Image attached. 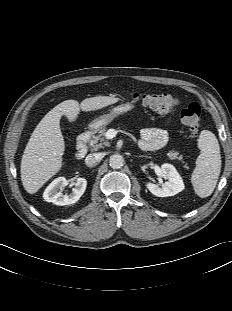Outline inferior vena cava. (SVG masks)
<instances>
[{
  "label": "inferior vena cava",
  "mask_w": 232,
  "mask_h": 311,
  "mask_svg": "<svg viewBox=\"0 0 232 311\" xmlns=\"http://www.w3.org/2000/svg\"><path fill=\"white\" fill-rule=\"evenodd\" d=\"M101 161V156L98 153H93V154H89L87 155V157L85 158V164L88 167H94L96 166L99 162Z\"/></svg>",
  "instance_id": "602c4592"
}]
</instances>
